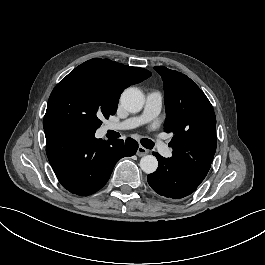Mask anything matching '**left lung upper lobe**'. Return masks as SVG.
<instances>
[{"mask_svg": "<svg viewBox=\"0 0 265 265\" xmlns=\"http://www.w3.org/2000/svg\"><path fill=\"white\" fill-rule=\"evenodd\" d=\"M154 69L164 82V129L174 134L170 142L172 157L168 160L202 182L216 151L213 107L203 91L186 75L164 66Z\"/></svg>", "mask_w": 265, "mask_h": 265, "instance_id": "1", "label": "left lung upper lobe"}]
</instances>
